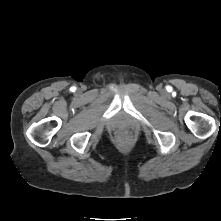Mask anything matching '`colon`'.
<instances>
[{
  "label": "colon",
  "instance_id": "colon-1",
  "mask_svg": "<svg viewBox=\"0 0 221 221\" xmlns=\"http://www.w3.org/2000/svg\"><path fill=\"white\" fill-rule=\"evenodd\" d=\"M125 137H126V133L125 132H120L119 133V138L120 139H125Z\"/></svg>",
  "mask_w": 221,
  "mask_h": 221
}]
</instances>
